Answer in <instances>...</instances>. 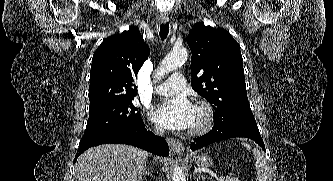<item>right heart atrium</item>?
<instances>
[{
  "label": "right heart atrium",
  "mask_w": 333,
  "mask_h": 181,
  "mask_svg": "<svg viewBox=\"0 0 333 181\" xmlns=\"http://www.w3.org/2000/svg\"><path fill=\"white\" fill-rule=\"evenodd\" d=\"M154 131H155L156 133H160V132H161V129H160L159 127H155V128H154Z\"/></svg>",
  "instance_id": "1"
}]
</instances>
